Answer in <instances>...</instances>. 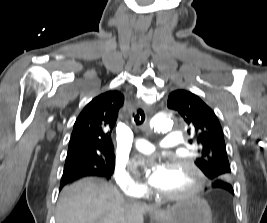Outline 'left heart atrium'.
Here are the masks:
<instances>
[{
	"label": "left heart atrium",
	"instance_id": "left-heart-atrium-1",
	"mask_svg": "<svg viewBox=\"0 0 267 223\" xmlns=\"http://www.w3.org/2000/svg\"><path fill=\"white\" fill-rule=\"evenodd\" d=\"M167 167L161 162H154L148 182L151 186L157 187L166 177Z\"/></svg>",
	"mask_w": 267,
	"mask_h": 223
}]
</instances>
